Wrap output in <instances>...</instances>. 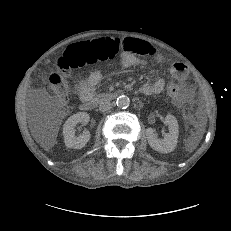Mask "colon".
<instances>
[{"mask_svg": "<svg viewBox=\"0 0 231 231\" xmlns=\"http://www.w3.org/2000/svg\"><path fill=\"white\" fill-rule=\"evenodd\" d=\"M121 47V40L117 38H105L89 45L71 47L66 55L56 62L58 72L49 76V83L55 95L59 98L67 97L69 70L81 66L87 60L113 59L120 53ZM167 91L171 96H175L179 89L174 82H170Z\"/></svg>", "mask_w": 231, "mask_h": 231, "instance_id": "5ec220e1", "label": "colon"}]
</instances>
